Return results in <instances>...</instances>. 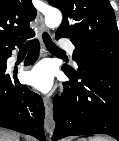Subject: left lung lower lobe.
Returning a JSON list of instances; mask_svg holds the SVG:
<instances>
[{"label": "left lung lower lobe", "mask_w": 119, "mask_h": 141, "mask_svg": "<svg viewBox=\"0 0 119 141\" xmlns=\"http://www.w3.org/2000/svg\"><path fill=\"white\" fill-rule=\"evenodd\" d=\"M77 66V70L62 67L70 82L64 83L62 95L54 99L52 139L103 133L119 141V64Z\"/></svg>", "instance_id": "1"}]
</instances>
